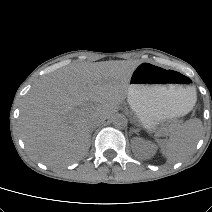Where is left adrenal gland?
<instances>
[{"label": "left adrenal gland", "mask_w": 212, "mask_h": 212, "mask_svg": "<svg viewBox=\"0 0 212 212\" xmlns=\"http://www.w3.org/2000/svg\"><path fill=\"white\" fill-rule=\"evenodd\" d=\"M132 131L135 133H138V129H133Z\"/></svg>", "instance_id": "obj_1"}]
</instances>
